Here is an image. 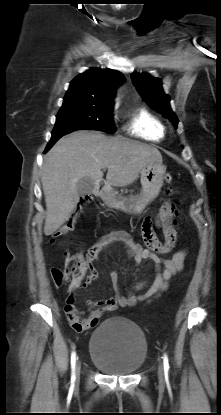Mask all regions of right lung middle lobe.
Wrapping results in <instances>:
<instances>
[{
  "label": "right lung middle lobe",
  "mask_w": 221,
  "mask_h": 415,
  "mask_svg": "<svg viewBox=\"0 0 221 415\" xmlns=\"http://www.w3.org/2000/svg\"><path fill=\"white\" fill-rule=\"evenodd\" d=\"M113 103L87 99H64L56 116L52 137L79 129L99 130L106 133L116 131L112 120Z\"/></svg>",
  "instance_id": "obj_1"
}]
</instances>
